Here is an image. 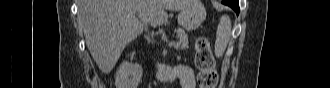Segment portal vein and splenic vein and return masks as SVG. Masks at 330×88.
Here are the masks:
<instances>
[{
    "label": "portal vein and splenic vein",
    "instance_id": "1",
    "mask_svg": "<svg viewBox=\"0 0 330 88\" xmlns=\"http://www.w3.org/2000/svg\"><path fill=\"white\" fill-rule=\"evenodd\" d=\"M176 44H175V42L174 41H170V42H168V46L169 47H172V46H175Z\"/></svg>",
    "mask_w": 330,
    "mask_h": 88
}]
</instances>
